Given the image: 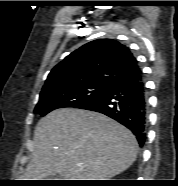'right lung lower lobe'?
I'll use <instances>...</instances> for the list:
<instances>
[{"mask_svg": "<svg viewBox=\"0 0 178 186\" xmlns=\"http://www.w3.org/2000/svg\"><path fill=\"white\" fill-rule=\"evenodd\" d=\"M147 94L141 69L124 75L80 109L105 114L130 129L142 146L146 139Z\"/></svg>", "mask_w": 178, "mask_h": 186, "instance_id": "obj_1", "label": "right lung lower lobe"}]
</instances>
